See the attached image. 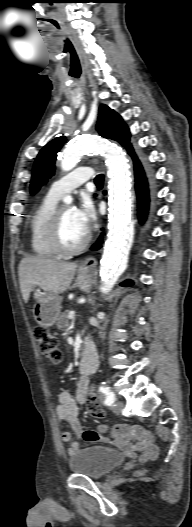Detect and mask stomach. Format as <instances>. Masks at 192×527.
<instances>
[{
    "instance_id": "obj_1",
    "label": "stomach",
    "mask_w": 192,
    "mask_h": 527,
    "mask_svg": "<svg viewBox=\"0 0 192 527\" xmlns=\"http://www.w3.org/2000/svg\"><path fill=\"white\" fill-rule=\"evenodd\" d=\"M94 279V274L80 269L76 278V286L87 291L90 289ZM35 304L33 306V315L35 321L42 327L53 326L59 318L61 310V297L48 292L39 287L33 289Z\"/></svg>"
}]
</instances>
